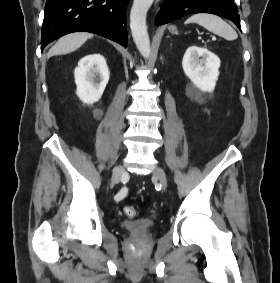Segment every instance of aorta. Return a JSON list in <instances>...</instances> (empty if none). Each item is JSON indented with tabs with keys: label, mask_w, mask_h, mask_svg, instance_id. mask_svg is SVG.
Returning a JSON list of instances; mask_svg holds the SVG:
<instances>
[{
	"label": "aorta",
	"mask_w": 280,
	"mask_h": 283,
	"mask_svg": "<svg viewBox=\"0 0 280 283\" xmlns=\"http://www.w3.org/2000/svg\"><path fill=\"white\" fill-rule=\"evenodd\" d=\"M154 0H134L130 13V28L133 40L144 58L150 56V40L146 15Z\"/></svg>",
	"instance_id": "762f6f07"
}]
</instances>
